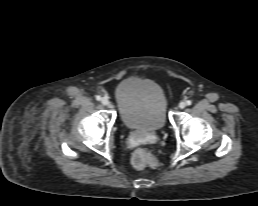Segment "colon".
Returning a JSON list of instances; mask_svg holds the SVG:
<instances>
[{"mask_svg": "<svg viewBox=\"0 0 258 206\" xmlns=\"http://www.w3.org/2000/svg\"><path fill=\"white\" fill-rule=\"evenodd\" d=\"M133 165L137 168L151 167L156 164V158L153 152L146 148H138L132 156Z\"/></svg>", "mask_w": 258, "mask_h": 206, "instance_id": "5ec220e1", "label": "colon"}]
</instances>
